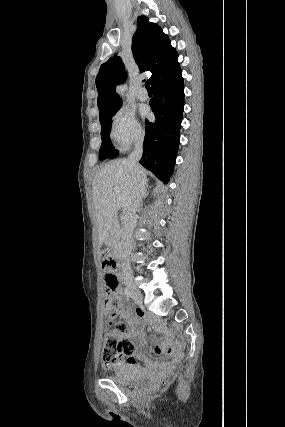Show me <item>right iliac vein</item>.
Listing matches in <instances>:
<instances>
[{
  "instance_id": "1",
  "label": "right iliac vein",
  "mask_w": 285,
  "mask_h": 427,
  "mask_svg": "<svg viewBox=\"0 0 285 427\" xmlns=\"http://www.w3.org/2000/svg\"><path fill=\"white\" fill-rule=\"evenodd\" d=\"M126 286L138 304L142 303L143 297L139 289H137L131 279L126 281Z\"/></svg>"
}]
</instances>
